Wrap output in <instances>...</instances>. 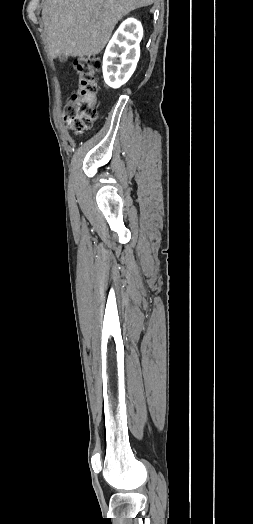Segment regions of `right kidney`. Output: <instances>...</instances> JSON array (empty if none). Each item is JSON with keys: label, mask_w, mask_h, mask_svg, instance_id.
Listing matches in <instances>:
<instances>
[{"label": "right kidney", "mask_w": 253, "mask_h": 524, "mask_svg": "<svg viewBox=\"0 0 253 524\" xmlns=\"http://www.w3.org/2000/svg\"><path fill=\"white\" fill-rule=\"evenodd\" d=\"M142 36L143 27L134 18L122 22L114 33L103 56V77L108 86L119 88L130 79L139 61Z\"/></svg>", "instance_id": "1"}]
</instances>
